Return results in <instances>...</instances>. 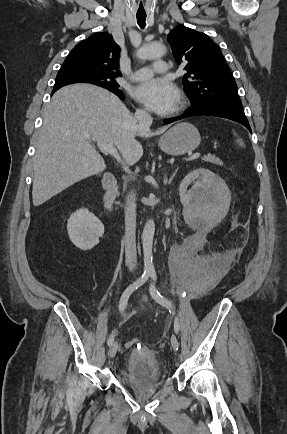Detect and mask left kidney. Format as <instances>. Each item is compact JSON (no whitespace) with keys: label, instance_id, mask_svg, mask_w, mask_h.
Here are the masks:
<instances>
[{"label":"left kidney","instance_id":"obj_1","mask_svg":"<svg viewBox=\"0 0 287 434\" xmlns=\"http://www.w3.org/2000/svg\"><path fill=\"white\" fill-rule=\"evenodd\" d=\"M194 182L193 187L187 190ZM179 194L185 208L204 212L218 222L229 209L231 194L225 181L208 169L200 168L189 173L180 183Z\"/></svg>","mask_w":287,"mask_h":434}]
</instances>
